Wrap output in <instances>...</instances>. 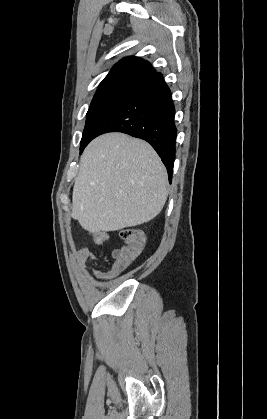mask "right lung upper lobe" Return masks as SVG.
<instances>
[{"label":"right lung upper lobe","mask_w":267,"mask_h":419,"mask_svg":"<svg viewBox=\"0 0 267 419\" xmlns=\"http://www.w3.org/2000/svg\"><path fill=\"white\" fill-rule=\"evenodd\" d=\"M157 72L151 64L139 57H127L119 61L98 86L96 94L127 91L132 92Z\"/></svg>","instance_id":"1"}]
</instances>
